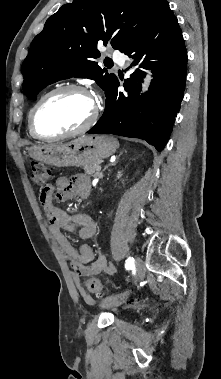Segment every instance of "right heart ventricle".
Returning <instances> with one entry per match:
<instances>
[{"label":"right heart ventricle","instance_id":"e07e8e85","mask_svg":"<svg viewBox=\"0 0 221 379\" xmlns=\"http://www.w3.org/2000/svg\"><path fill=\"white\" fill-rule=\"evenodd\" d=\"M29 134H30L32 137H34L33 134L31 133L30 129H29Z\"/></svg>","mask_w":221,"mask_h":379}]
</instances>
